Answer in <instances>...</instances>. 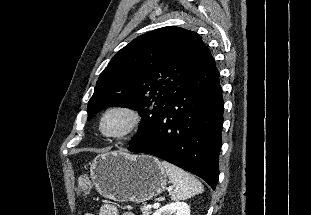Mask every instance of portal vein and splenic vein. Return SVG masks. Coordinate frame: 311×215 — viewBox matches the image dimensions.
<instances>
[{
  "label": "portal vein and splenic vein",
  "mask_w": 311,
  "mask_h": 215,
  "mask_svg": "<svg viewBox=\"0 0 311 215\" xmlns=\"http://www.w3.org/2000/svg\"><path fill=\"white\" fill-rule=\"evenodd\" d=\"M170 190H172V188H171ZM159 206H160V204H159L158 202H156V203L153 204V208H155V209H156V208H159Z\"/></svg>",
  "instance_id": "portal-vein-and-splenic-vein-1"
}]
</instances>
